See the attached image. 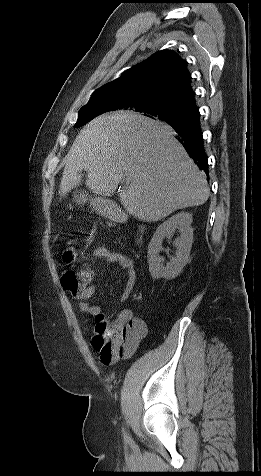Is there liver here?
<instances>
[{"label": "liver", "mask_w": 261, "mask_h": 476, "mask_svg": "<svg viewBox=\"0 0 261 476\" xmlns=\"http://www.w3.org/2000/svg\"><path fill=\"white\" fill-rule=\"evenodd\" d=\"M170 126L143 115L119 111L90 121L65 157L61 195L81 184L98 195L119 193L127 212L142 221H158L209 197L206 174L190 159Z\"/></svg>", "instance_id": "liver-1"}]
</instances>
